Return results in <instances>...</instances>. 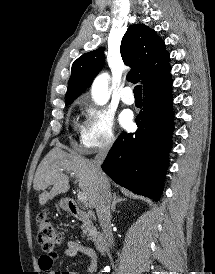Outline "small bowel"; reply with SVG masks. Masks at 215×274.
<instances>
[{
	"instance_id": "1",
	"label": "small bowel",
	"mask_w": 215,
	"mask_h": 274,
	"mask_svg": "<svg viewBox=\"0 0 215 274\" xmlns=\"http://www.w3.org/2000/svg\"><path fill=\"white\" fill-rule=\"evenodd\" d=\"M79 254H84L90 259L88 274L95 273L98 267V258L95 250L74 240L67 241L66 248L61 253L45 251L39 258V267L47 274H79L74 271L57 272L53 269L55 262L62 256L73 258Z\"/></svg>"
}]
</instances>
